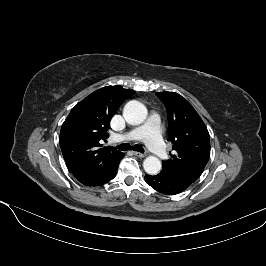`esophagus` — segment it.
Returning a JSON list of instances; mask_svg holds the SVG:
<instances>
[{"instance_id": "34e87169", "label": "esophagus", "mask_w": 266, "mask_h": 266, "mask_svg": "<svg viewBox=\"0 0 266 266\" xmlns=\"http://www.w3.org/2000/svg\"><path fill=\"white\" fill-rule=\"evenodd\" d=\"M133 153H134L135 156L140 157V158H143V157L146 156L145 153H141V152H133Z\"/></svg>"}]
</instances>
